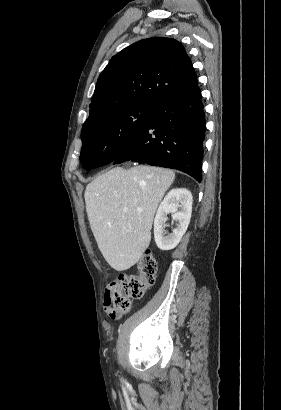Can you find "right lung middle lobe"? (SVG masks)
Returning <instances> with one entry per match:
<instances>
[{
    "label": "right lung middle lobe",
    "instance_id": "dd1d6c3e",
    "mask_svg": "<svg viewBox=\"0 0 281 410\" xmlns=\"http://www.w3.org/2000/svg\"><path fill=\"white\" fill-rule=\"evenodd\" d=\"M155 107L128 105L110 108L88 119L81 130L80 160L85 169L113 162L143 131Z\"/></svg>",
    "mask_w": 281,
    "mask_h": 410
}]
</instances>
